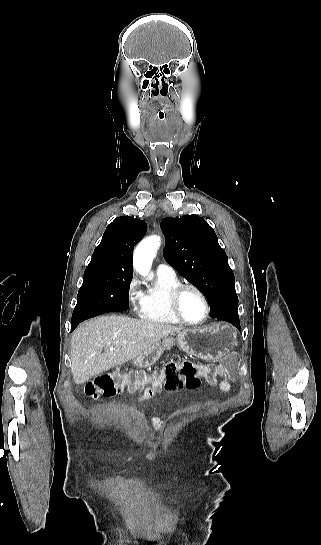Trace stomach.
I'll list each match as a JSON object with an SVG mask.
<instances>
[{"label": "stomach", "mask_w": 321, "mask_h": 545, "mask_svg": "<svg viewBox=\"0 0 321 545\" xmlns=\"http://www.w3.org/2000/svg\"><path fill=\"white\" fill-rule=\"evenodd\" d=\"M237 331L229 323H215L212 327L204 329H185L179 331L174 337H165L162 343L157 341L153 347L143 351L139 357L133 361V367L136 369H147L159 361L165 349H171L173 345L180 347L187 355H193L197 359H206V361H217L233 347H236Z\"/></svg>", "instance_id": "1"}]
</instances>
